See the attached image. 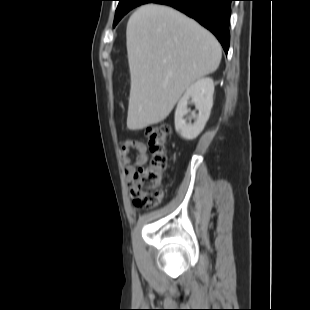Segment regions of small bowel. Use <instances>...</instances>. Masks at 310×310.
Wrapping results in <instances>:
<instances>
[{
    "label": "small bowel",
    "instance_id": "1",
    "mask_svg": "<svg viewBox=\"0 0 310 310\" xmlns=\"http://www.w3.org/2000/svg\"><path fill=\"white\" fill-rule=\"evenodd\" d=\"M131 152L135 153L134 160L130 157ZM120 157L124 174L128 179H131L136 169L143 166L147 161L146 146L138 140L127 139L120 144Z\"/></svg>",
    "mask_w": 310,
    "mask_h": 310
}]
</instances>
